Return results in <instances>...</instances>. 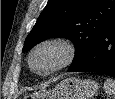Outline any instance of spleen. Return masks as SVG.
Segmentation results:
<instances>
[{
    "mask_svg": "<svg viewBox=\"0 0 115 99\" xmlns=\"http://www.w3.org/2000/svg\"><path fill=\"white\" fill-rule=\"evenodd\" d=\"M104 90L107 94L114 96L115 99V80L107 78L104 81Z\"/></svg>",
    "mask_w": 115,
    "mask_h": 99,
    "instance_id": "obj_1",
    "label": "spleen"
}]
</instances>
